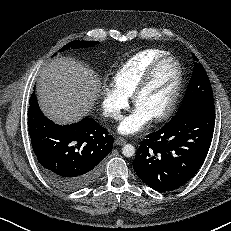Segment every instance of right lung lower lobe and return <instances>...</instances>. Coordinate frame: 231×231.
I'll use <instances>...</instances> for the list:
<instances>
[{"label":"right lung lower lobe","mask_w":231,"mask_h":231,"mask_svg":"<svg viewBox=\"0 0 231 231\" xmlns=\"http://www.w3.org/2000/svg\"><path fill=\"white\" fill-rule=\"evenodd\" d=\"M31 144L44 175L56 187L74 192L95 182L113 136L93 118L60 126L41 112L35 92L28 108Z\"/></svg>","instance_id":"obj_1"}]
</instances>
